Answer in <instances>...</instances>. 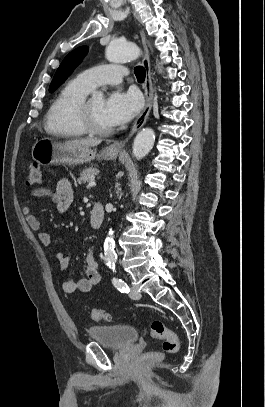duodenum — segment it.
Instances as JSON below:
<instances>
[{
	"instance_id": "obj_1",
	"label": "duodenum",
	"mask_w": 265,
	"mask_h": 407,
	"mask_svg": "<svg viewBox=\"0 0 265 407\" xmlns=\"http://www.w3.org/2000/svg\"><path fill=\"white\" fill-rule=\"evenodd\" d=\"M105 218L104 206L101 203H95L90 210V223L93 227L101 226Z\"/></svg>"
}]
</instances>
